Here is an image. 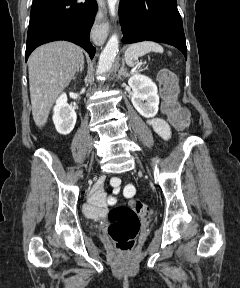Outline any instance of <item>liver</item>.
Wrapping results in <instances>:
<instances>
[{
    "mask_svg": "<svg viewBox=\"0 0 240 288\" xmlns=\"http://www.w3.org/2000/svg\"><path fill=\"white\" fill-rule=\"evenodd\" d=\"M82 49L67 41H55L35 49L28 59L32 116L41 128L57 96L69 85L81 63Z\"/></svg>",
    "mask_w": 240,
    "mask_h": 288,
    "instance_id": "liver-1",
    "label": "liver"
}]
</instances>
